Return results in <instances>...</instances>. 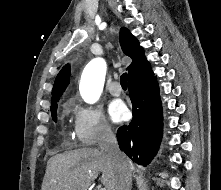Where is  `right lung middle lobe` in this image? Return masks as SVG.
<instances>
[{
  "label": "right lung middle lobe",
  "mask_w": 221,
  "mask_h": 190,
  "mask_svg": "<svg viewBox=\"0 0 221 190\" xmlns=\"http://www.w3.org/2000/svg\"><path fill=\"white\" fill-rule=\"evenodd\" d=\"M57 102L58 100L51 103V114L54 122H57Z\"/></svg>",
  "instance_id": "right-lung-middle-lobe-1"
}]
</instances>
